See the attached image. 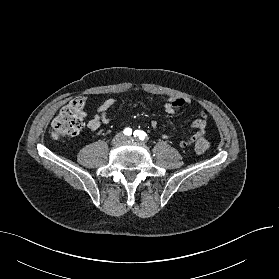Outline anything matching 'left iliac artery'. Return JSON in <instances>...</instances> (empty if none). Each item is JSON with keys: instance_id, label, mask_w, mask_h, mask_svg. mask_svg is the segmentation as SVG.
I'll return each mask as SVG.
<instances>
[{"instance_id": "left-iliac-artery-1", "label": "left iliac artery", "mask_w": 279, "mask_h": 279, "mask_svg": "<svg viewBox=\"0 0 279 279\" xmlns=\"http://www.w3.org/2000/svg\"><path fill=\"white\" fill-rule=\"evenodd\" d=\"M133 135H134V137H137L141 141L145 140L147 137V134L141 130H135Z\"/></svg>"}]
</instances>
